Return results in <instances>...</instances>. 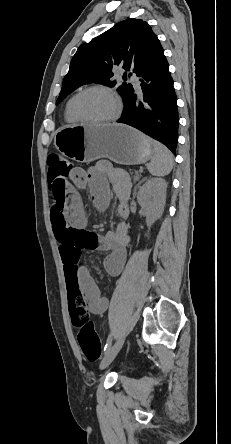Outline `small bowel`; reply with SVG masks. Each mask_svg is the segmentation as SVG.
I'll use <instances>...</instances> for the list:
<instances>
[{"label":"small bowel","mask_w":231,"mask_h":444,"mask_svg":"<svg viewBox=\"0 0 231 444\" xmlns=\"http://www.w3.org/2000/svg\"><path fill=\"white\" fill-rule=\"evenodd\" d=\"M64 188H60L55 205L51 210V225L59 242L67 288L74 285L82 294L87 309L95 315L103 314L109 301L90 275L80 264L81 251L102 250L106 252L103 261L105 272L110 276L120 274L126 261V247L129 242L125 224L118 222L114 229L98 234L85 228L86 217L78 189L89 188L93 204L105 209L111 198V186L119 200L118 216L127 218V201L130 195V180L110 164L101 162L89 171L79 170L71 176ZM50 187V184H49Z\"/></svg>","instance_id":"c3829d8e"}]
</instances>
